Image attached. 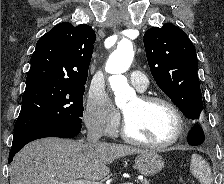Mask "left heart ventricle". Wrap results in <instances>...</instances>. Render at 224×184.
I'll return each mask as SVG.
<instances>
[{
    "instance_id": "1",
    "label": "left heart ventricle",
    "mask_w": 224,
    "mask_h": 184,
    "mask_svg": "<svg viewBox=\"0 0 224 184\" xmlns=\"http://www.w3.org/2000/svg\"><path fill=\"white\" fill-rule=\"evenodd\" d=\"M130 133L141 140L162 143L176 129V118L169 107L161 103L143 104L135 98L123 107Z\"/></svg>"
}]
</instances>
